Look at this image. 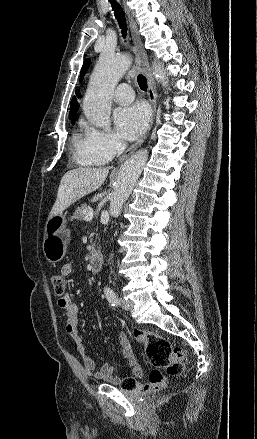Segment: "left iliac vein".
Listing matches in <instances>:
<instances>
[{"instance_id": "obj_1", "label": "left iliac vein", "mask_w": 257, "mask_h": 439, "mask_svg": "<svg viewBox=\"0 0 257 439\" xmlns=\"http://www.w3.org/2000/svg\"><path fill=\"white\" fill-rule=\"evenodd\" d=\"M120 305L123 309L127 311H131L133 309V302L126 300V299H120Z\"/></svg>"}]
</instances>
